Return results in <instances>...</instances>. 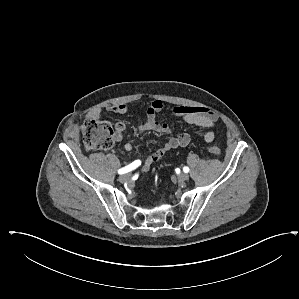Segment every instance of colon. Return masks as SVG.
Here are the masks:
<instances>
[{
  "label": "colon",
  "instance_id": "colon-1",
  "mask_svg": "<svg viewBox=\"0 0 299 299\" xmlns=\"http://www.w3.org/2000/svg\"><path fill=\"white\" fill-rule=\"evenodd\" d=\"M84 146L88 151L109 150L114 145V132L111 124L104 120L90 119L82 126ZM208 151L214 156H220L221 151L215 145H210Z\"/></svg>",
  "mask_w": 299,
  "mask_h": 299
}]
</instances>
